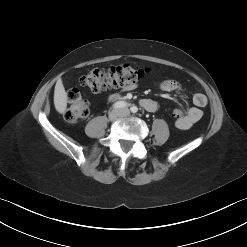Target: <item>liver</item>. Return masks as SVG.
Returning <instances> with one entry per match:
<instances>
[{
	"mask_svg": "<svg viewBox=\"0 0 247 247\" xmlns=\"http://www.w3.org/2000/svg\"><path fill=\"white\" fill-rule=\"evenodd\" d=\"M54 105L56 110L63 114L67 107V93L63 86L62 80L58 79L54 90Z\"/></svg>",
	"mask_w": 247,
	"mask_h": 247,
	"instance_id": "obj_1",
	"label": "liver"
}]
</instances>
